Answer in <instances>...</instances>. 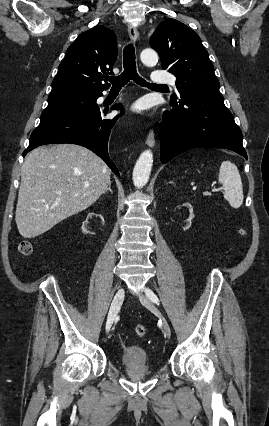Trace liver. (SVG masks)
<instances>
[{
  "label": "liver",
  "instance_id": "obj_1",
  "mask_svg": "<svg viewBox=\"0 0 269 426\" xmlns=\"http://www.w3.org/2000/svg\"><path fill=\"white\" fill-rule=\"evenodd\" d=\"M111 171L96 154L75 144L31 151L21 168L15 221L24 238L37 237L77 214L105 192Z\"/></svg>",
  "mask_w": 269,
  "mask_h": 426
}]
</instances>
